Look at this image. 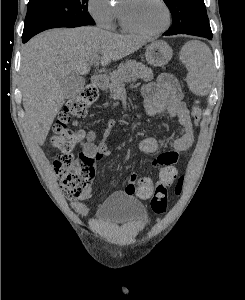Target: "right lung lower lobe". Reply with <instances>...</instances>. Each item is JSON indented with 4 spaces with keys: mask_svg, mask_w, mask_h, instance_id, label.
Instances as JSON below:
<instances>
[{
    "mask_svg": "<svg viewBox=\"0 0 245 300\" xmlns=\"http://www.w3.org/2000/svg\"><path fill=\"white\" fill-rule=\"evenodd\" d=\"M30 38L29 37H24L22 38L23 43L27 42Z\"/></svg>",
    "mask_w": 245,
    "mask_h": 300,
    "instance_id": "obj_1",
    "label": "right lung lower lobe"
}]
</instances>
